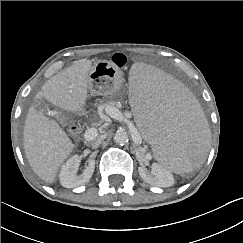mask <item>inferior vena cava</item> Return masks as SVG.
<instances>
[{"instance_id": "1", "label": "inferior vena cava", "mask_w": 243, "mask_h": 243, "mask_svg": "<svg viewBox=\"0 0 243 243\" xmlns=\"http://www.w3.org/2000/svg\"><path fill=\"white\" fill-rule=\"evenodd\" d=\"M95 130H96V129H95ZM96 135H97V131H96ZM96 135H95V136H96ZM95 136H94L92 139H90V140H94V141L92 142V147H93V148H97V147L101 144V142L103 141V138H102V137L95 139Z\"/></svg>"}]
</instances>
